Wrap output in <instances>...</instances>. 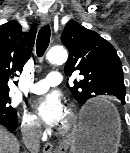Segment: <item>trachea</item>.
Segmentation results:
<instances>
[{
    "instance_id": "1",
    "label": "trachea",
    "mask_w": 130,
    "mask_h": 153,
    "mask_svg": "<svg viewBox=\"0 0 130 153\" xmlns=\"http://www.w3.org/2000/svg\"><path fill=\"white\" fill-rule=\"evenodd\" d=\"M51 31L49 25L42 27L37 36L36 52L38 57H42L48 48L50 42Z\"/></svg>"
}]
</instances>
